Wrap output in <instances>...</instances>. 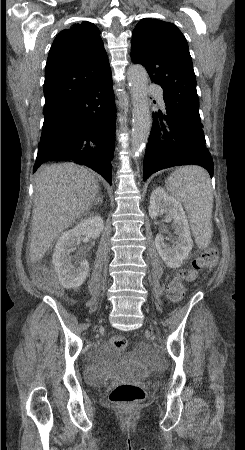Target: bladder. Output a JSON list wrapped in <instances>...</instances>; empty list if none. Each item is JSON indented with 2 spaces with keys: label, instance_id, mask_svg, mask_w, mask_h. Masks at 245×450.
Masks as SVG:
<instances>
[{
  "label": "bladder",
  "instance_id": "obj_1",
  "mask_svg": "<svg viewBox=\"0 0 245 450\" xmlns=\"http://www.w3.org/2000/svg\"><path fill=\"white\" fill-rule=\"evenodd\" d=\"M101 371L102 368L98 365H89L84 369L85 375L90 382H98L102 380L104 382L105 377L100 376ZM123 377L139 378L140 373L138 368L131 363L114 365L110 369L109 376H107L108 383H112Z\"/></svg>",
  "mask_w": 245,
  "mask_h": 450
}]
</instances>
